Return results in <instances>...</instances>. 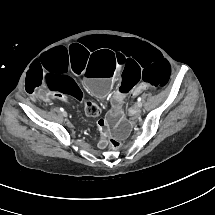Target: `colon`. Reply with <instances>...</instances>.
<instances>
[{"mask_svg": "<svg viewBox=\"0 0 215 215\" xmlns=\"http://www.w3.org/2000/svg\"><path fill=\"white\" fill-rule=\"evenodd\" d=\"M85 113L90 117H97L101 114V108L94 102H87L85 105ZM115 148L117 147L115 146Z\"/></svg>", "mask_w": 215, "mask_h": 215, "instance_id": "5ec220e1", "label": "colon"}]
</instances>
